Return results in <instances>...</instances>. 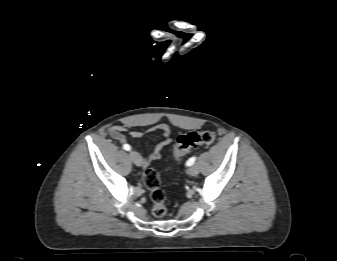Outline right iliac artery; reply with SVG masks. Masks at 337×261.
<instances>
[{"mask_svg":"<svg viewBox=\"0 0 337 261\" xmlns=\"http://www.w3.org/2000/svg\"><path fill=\"white\" fill-rule=\"evenodd\" d=\"M123 149L126 150V151H129V150H131V147L128 144H124Z\"/></svg>","mask_w":337,"mask_h":261,"instance_id":"right-iliac-artery-1","label":"right iliac artery"}]
</instances>
